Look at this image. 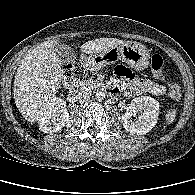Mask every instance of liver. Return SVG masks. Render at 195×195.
I'll return each mask as SVG.
<instances>
[{
	"label": "liver",
	"instance_id": "liver-1",
	"mask_svg": "<svg viewBox=\"0 0 195 195\" xmlns=\"http://www.w3.org/2000/svg\"><path fill=\"white\" fill-rule=\"evenodd\" d=\"M126 41L100 38L84 43L80 48L85 54H102L124 45ZM57 41L49 40L33 48L21 60L14 81V100L20 114L30 122L39 121L47 102L61 87L63 70L54 51Z\"/></svg>",
	"mask_w": 195,
	"mask_h": 195
}]
</instances>
